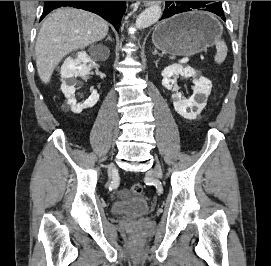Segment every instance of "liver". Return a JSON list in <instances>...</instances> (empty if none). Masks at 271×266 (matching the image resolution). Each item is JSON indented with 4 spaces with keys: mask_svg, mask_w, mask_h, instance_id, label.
Listing matches in <instances>:
<instances>
[{
    "mask_svg": "<svg viewBox=\"0 0 271 266\" xmlns=\"http://www.w3.org/2000/svg\"><path fill=\"white\" fill-rule=\"evenodd\" d=\"M108 23L91 12L61 8L43 22L35 45L38 75L47 84L59 62L70 52L100 41Z\"/></svg>",
    "mask_w": 271,
    "mask_h": 266,
    "instance_id": "liver-1",
    "label": "liver"
}]
</instances>
